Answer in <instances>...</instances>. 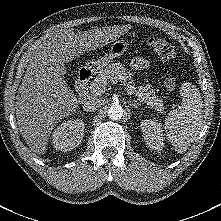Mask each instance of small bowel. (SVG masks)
Here are the masks:
<instances>
[{"label": "small bowel", "mask_w": 221, "mask_h": 221, "mask_svg": "<svg viewBox=\"0 0 221 221\" xmlns=\"http://www.w3.org/2000/svg\"><path fill=\"white\" fill-rule=\"evenodd\" d=\"M132 69L142 70L150 67V62L144 57H135L130 64Z\"/></svg>", "instance_id": "small-bowel-1"}]
</instances>
